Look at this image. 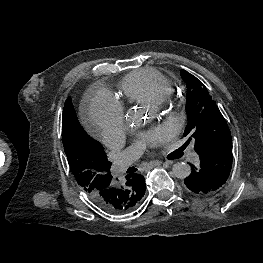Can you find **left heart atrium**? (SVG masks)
Instances as JSON below:
<instances>
[{
	"mask_svg": "<svg viewBox=\"0 0 263 263\" xmlns=\"http://www.w3.org/2000/svg\"><path fill=\"white\" fill-rule=\"evenodd\" d=\"M167 134L163 129H157L152 132L142 134L139 142L147 147H152L166 138Z\"/></svg>",
	"mask_w": 263,
	"mask_h": 263,
	"instance_id": "obj_1",
	"label": "left heart atrium"
}]
</instances>
